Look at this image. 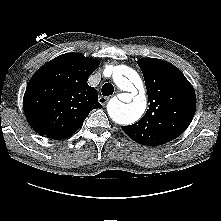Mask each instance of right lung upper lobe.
<instances>
[{
    "label": "right lung upper lobe",
    "mask_w": 221,
    "mask_h": 221,
    "mask_svg": "<svg viewBox=\"0 0 221 221\" xmlns=\"http://www.w3.org/2000/svg\"><path fill=\"white\" fill-rule=\"evenodd\" d=\"M99 61L66 53L43 65L26 88L23 107L31 127L56 140L72 135L89 112L101 108L98 93L87 84Z\"/></svg>",
    "instance_id": "obj_1"
}]
</instances>
